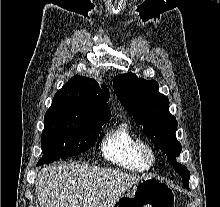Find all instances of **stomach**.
<instances>
[{"label": "stomach", "mask_w": 220, "mask_h": 207, "mask_svg": "<svg viewBox=\"0 0 220 207\" xmlns=\"http://www.w3.org/2000/svg\"><path fill=\"white\" fill-rule=\"evenodd\" d=\"M174 204L175 194L172 188L157 178L146 176L112 207H173Z\"/></svg>", "instance_id": "0dacf381"}]
</instances>
